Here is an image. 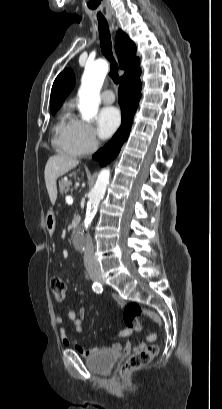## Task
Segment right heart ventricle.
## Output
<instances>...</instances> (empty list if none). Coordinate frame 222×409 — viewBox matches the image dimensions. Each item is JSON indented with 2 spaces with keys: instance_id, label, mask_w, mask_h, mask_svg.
Masks as SVG:
<instances>
[{
  "instance_id": "right-heart-ventricle-1",
  "label": "right heart ventricle",
  "mask_w": 222,
  "mask_h": 409,
  "mask_svg": "<svg viewBox=\"0 0 222 409\" xmlns=\"http://www.w3.org/2000/svg\"><path fill=\"white\" fill-rule=\"evenodd\" d=\"M75 119L69 109H65L54 128V145L59 152L71 157H79L83 150L75 133Z\"/></svg>"
}]
</instances>
